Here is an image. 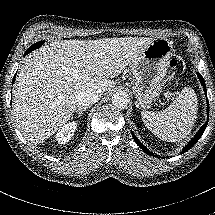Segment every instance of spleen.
Segmentation results:
<instances>
[{
  "label": "spleen",
  "mask_w": 215,
  "mask_h": 215,
  "mask_svg": "<svg viewBox=\"0 0 215 215\" xmlns=\"http://www.w3.org/2000/svg\"><path fill=\"white\" fill-rule=\"evenodd\" d=\"M197 96L185 87L177 99L160 112H141L145 126L158 138L176 142L184 139L192 130L198 111Z\"/></svg>",
  "instance_id": "1"
}]
</instances>
